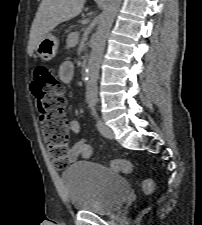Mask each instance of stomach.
Masks as SVG:
<instances>
[{
    "label": "stomach",
    "instance_id": "obj_1",
    "mask_svg": "<svg viewBox=\"0 0 202 225\" xmlns=\"http://www.w3.org/2000/svg\"><path fill=\"white\" fill-rule=\"evenodd\" d=\"M58 46H59L58 39L54 35L48 33L39 42L36 48L37 55L43 61H50L56 56Z\"/></svg>",
    "mask_w": 202,
    "mask_h": 225
}]
</instances>
